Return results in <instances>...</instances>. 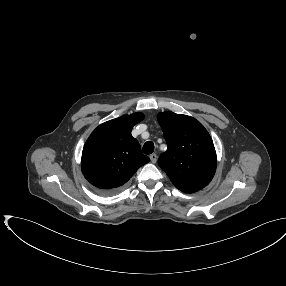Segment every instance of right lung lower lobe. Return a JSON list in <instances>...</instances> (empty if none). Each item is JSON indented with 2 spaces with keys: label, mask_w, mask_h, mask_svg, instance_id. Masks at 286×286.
Returning a JSON list of instances; mask_svg holds the SVG:
<instances>
[{
  "label": "right lung lower lobe",
  "mask_w": 286,
  "mask_h": 286,
  "mask_svg": "<svg viewBox=\"0 0 286 286\" xmlns=\"http://www.w3.org/2000/svg\"><path fill=\"white\" fill-rule=\"evenodd\" d=\"M99 192H101V193H104V192H102V191H100V190H98Z\"/></svg>",
  "instance_id": "1"
}]
</instances>
